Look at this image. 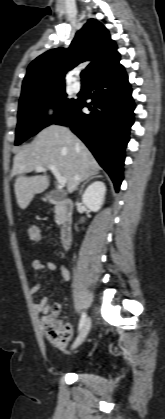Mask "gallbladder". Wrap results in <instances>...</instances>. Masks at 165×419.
I'll use <instances>...</instances> for the list:
<instances>
[{"instance_id":"1","label":"gallbladder","mask_w":165,"mask_h":419,"mask_svg":"<svg viewBox=\"0 0 165 419\" xmlns=\"http://www.w3.org/2000/svg\"><path fill=\"white\" fill-rule=\"evenodd\" d=\"M65 195L62 192H53L52 198L55 200H62Z\"/></svg>"}]
</instances>
